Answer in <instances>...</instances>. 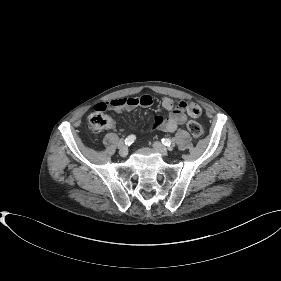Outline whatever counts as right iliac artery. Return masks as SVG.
Returning <instances> with one entry per match:
<instances>
[{"label": "right iliac artery", "mask_w": 281, "mask_h": 281, "mask_svg": "<svg viewBox=\"0 0 281 281\" xmlns=\"http://www.w3.org/2000/svg\"><path fill=\"white\" fill-rule=\"evenodd\" d=\"M135 139V135H129L124 142L126 145H131L135 141Z\"/></svg>", "instance_id": "1"}]
</instances>
